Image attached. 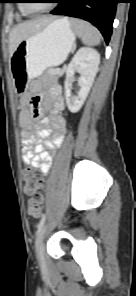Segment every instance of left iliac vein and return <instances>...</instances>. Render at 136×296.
<instances>
[{
    "mask_svg": "<svg viewBox=\"0 0 136 296\" xmlns=\"http://www.w3.org/2000/svg\"><path fill=\"white\" fill-rule=\"evenodd\" d=\"M46 229H47V225H44L40 233L38 248H37V258L41 268L45 267L43 238H44Z\"/></svg>",
    "mask_w": 136,
    "mask_h": 296,
    "instance_id": "4c4485c4",
    "label": "left iliac vein"
}]
</instances>
